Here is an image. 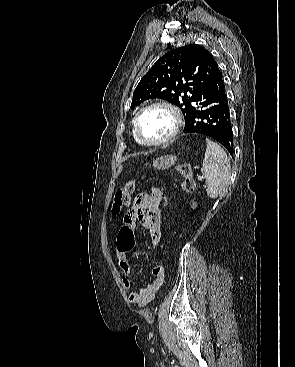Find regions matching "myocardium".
I'll use <instances>...</instances> for the list:
<instances>
[{
	"label": "myocardium",
	"mask_w": 295,
	"mask_h": 367,
	"mask_svg": "<svg viewBox=\"0 0 295 367\" xmlns=\"http://www.w3.org/2000/svg\"><path fill=\"white\" fill-rule=\"evenodd\" d=\"M152 108H164L166 109L173 117L174 120V126L172 131L170 132L169 135H167L166 137H164L163 139L160 140H156V141H147L145 140L139 131V121L140 118L142 117V115L152 109ZM182 128V116L179 112V110L173 106L172 104L168 103V102H164V101H157V102H153L150 104L145 105L144 107H142L138 113L136 114L134 121H133V132L134 135L137 139V141L145 146H150V147H156V146H162L165 145L167 143H170L171 141H173L178 134L180 133Z\"/></svg>",
	"instance_id": "myocardium-1"
}]
</instances>
